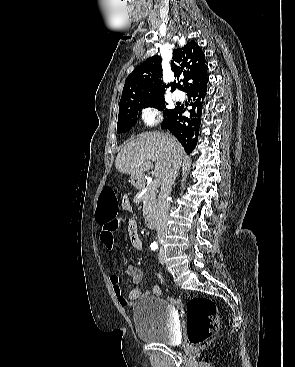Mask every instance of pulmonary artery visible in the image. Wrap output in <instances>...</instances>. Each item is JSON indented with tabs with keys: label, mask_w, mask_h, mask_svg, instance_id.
I'll return each mask as SVG.
<instances>
[{
	"label": "pulmonary artery",
	"mask_w": 295,
	"mask_h": 367,
	"mask_svg": "<svg viewBox=\"0 0 295 367\" xmlns=\"http://www.w3.org/2000/svg\"><path fill=\"white\" fill-rule=\"evenodd\" d=\"M173 98H174L175 100L181 101V100H183V99H184V94H183L182 92L176 91V92H174V94H173Z\"/></svg>",
	"instance_id": "pulmonary-artery-1"
}]
</instances>
